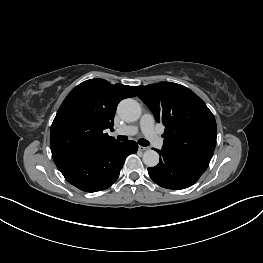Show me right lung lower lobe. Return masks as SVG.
<instances>
[{"instance_id": "obj_1", "label": "right lung lower lobe", "mask_w": 263, "mask_h": 263, "mask_svg": "<svg viewBox=\"0 0 263 263\" xmlns=\"http://www.w3.org/2000/svg\"><path fill=\"white\" fill-rule=\"evenodd\" d=\"M137 149L135 141L116 142L56 166L73 186L82 191L97 192L117 180L126 157Z\"/></svg>"}]
</instances>
